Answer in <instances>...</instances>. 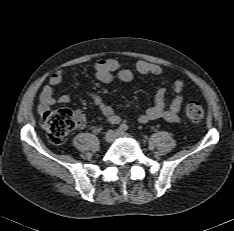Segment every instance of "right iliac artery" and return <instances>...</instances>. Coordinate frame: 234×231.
I'll return each mask as SVG.
<instances>
[{
  "mask_svg": "<svg viewBox=\"0 0 234 231\" xmlns=\"http://www.w3.org/2000/svg\"><path fill=\"white\" fill-rule=\"evenodd\" d=\"M109 123L111 124H119L121 123V118L118 116H114L108 120Z\"/></svg>",
  "mask_w": 234,
  "mask_h": 231,
  "instance_id": "obj_1",
  "label": "right iliac artery"
}]
</instances>
